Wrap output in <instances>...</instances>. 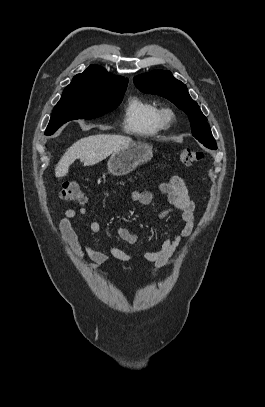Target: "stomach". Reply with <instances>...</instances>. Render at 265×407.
Wrapping results in <instances>:
<instances>
[{
	"instance_id": "1",
	"label": "stomach",
	"mask_w": 265,
	"mask_h": 407,
	"mask_svg": "<svg viewBox=\"0 0 265 407\" xmlns=\"http://www.w3.org/2000/svg\"><path fill=\"white\" fill-rule=\"evenodd\" d=\"M152 146L144 142H132L114 151L108 161V171L114 176H123L133 171L138 165L151 160Z\"/></svg>"
}]
</instances>
